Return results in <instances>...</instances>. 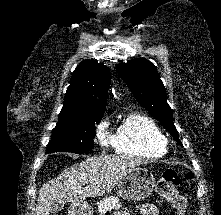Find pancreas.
<instances>
[{
    "mask_svg": "<svg viewBox=\"0 0 221 215\" xmlns=\"http://www.w3.org/2000/svg\"><path fill=\"white\" fill-rule=\"evenodd\" d=\"M122 207L119 199L115 196H109L104 198L98 203V212L100 215H105L107 211L118 209Z\"/></svg>",
    "mask_w": 221,
    "mask_h": 215,
    "instance_id": "cf45deb5",
    "label": "pancreas"
}]
</instances>
